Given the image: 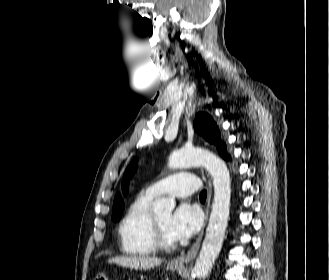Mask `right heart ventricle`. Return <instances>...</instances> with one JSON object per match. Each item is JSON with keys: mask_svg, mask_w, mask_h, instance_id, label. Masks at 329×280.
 Listing matches in <instances>:
<instances>
[{"mask_svg": "<svg viewBox=\"0 0 329 280\" xmlns=\"http://www.w3.org/2000/svg\"><path fill=\"white\" fill-rule=\"evenodd\" d=\"M155 196L149 192L139 194L129 205L120 224L121 250L131 256H147L156 247L151 232V204Z\"/></svg>", "mask_w": 329, "mask_h": 280, "instance_id": "1", "label": "right heart ventricle"}]
</instances>
